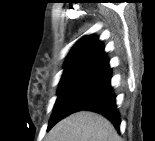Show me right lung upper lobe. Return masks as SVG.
<instances>
[{"label":"right lung upper lobe","instance_id":"cb5924a9","mask_svg":"<svg viewBox=\"0 0 155 141\" xmlns=\"http://www.w3.org/2000/svg\"><path fill=\"white\" fill-rule=\"evenodd\" d=\"M107 61L102 42L96 36H86L80 39L69 52L64 73L77 70L96 72Z\"/></svg>","mask_w":155,"mask_h":141}]
</instances>
